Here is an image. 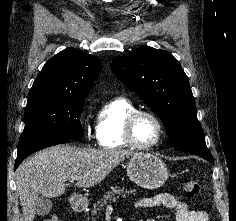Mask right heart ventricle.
<instances>
[{
  "label": "right heart ventricle",
  "instance_id": "e07e8e85",
  "mask_svg": "<svg viewBox=\"0 0 236 221\" xmlns=\"http://www.w3.org/2000/svg\"><path fill=\"white\" fill-rule=\"evenodd\" d=\"M135 110V104L124 96L115 97L101 107L95 126L100 147L107 150L130 147L124 138V124L129 114Z\"/></svg>",
  "mask_w": 236,
  "mask_h": 221
}]
</instances>
